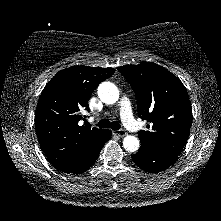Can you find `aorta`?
I'll use <instances>...</instances> for the list:
<instances>
[{"label": "aorta", "instance_id": "1", "mask_svg": "<svg viewBox=\"0 0 221 221\" xmlns=\"http://www.w3.org/2000/svg\"><path fill=\"white\" fill-rule=\"evenodd\" d=\"M97 92L100 100L106 104H114L119 99V90L111 82H102L98 86ZM139 146V140L134 136H126L123 140V147L127 151L135 152L139 149Z\"/></svg>", "mask_w": 221, "mask_h": 221}]
</instances>
